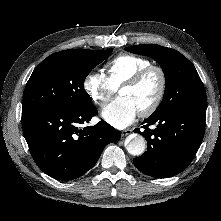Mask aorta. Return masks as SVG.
<instances>
[{"mask_svg":"<svg viewBox=\"0 0 221 221\" xmlns=\"http://www.w3.org/2000/svg\"><path fill=\"white\" fill-rule=\"evenodd\" d=\"M126 149L131 155H142L146 150L145 138L142 135H135L126 146Z\"/></svg>","mask_w":221,"mask_h":221,"instance_id":"762f6f07","label":"aorta"}]
</instances>
